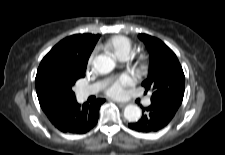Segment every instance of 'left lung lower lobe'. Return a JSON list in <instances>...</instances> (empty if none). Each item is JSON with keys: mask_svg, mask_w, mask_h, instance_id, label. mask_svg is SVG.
<instances>
[{"mask_svg": "<svg viewBox=\"0 0 225 155\" xmlns=\"http://www.w3.org/2000/svg\"><path fill=\"white\" fill-rule=\"evenodd\" d=\"M179 106L173 102L151 101L150 106L142 107V118L128 126L138 132H156L169 124Z\"/></svg>", "mask_w": 225, "mask_h": 155, "instance_id": "obj_1", "label": "left lung lower lobe"}]
</instances>
